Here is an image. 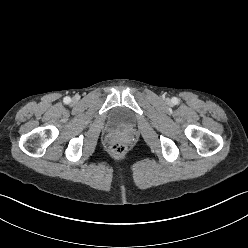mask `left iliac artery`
<instances>
[{"label":"left iliac artery","mask_w":248,"mask_h":248,"mask_svg":"<svg viewBox=\"0 0 248 248\" xmlns=\"http://www.w3.org/2000/svg\"><path fill=\"white\" fill-rule=\"evenodd\" d=\"M172 102H173L174 104H176V103H178V99L174 97V98L172 99Z\"/></svg>","instance_id":"1"}]
</instances>
